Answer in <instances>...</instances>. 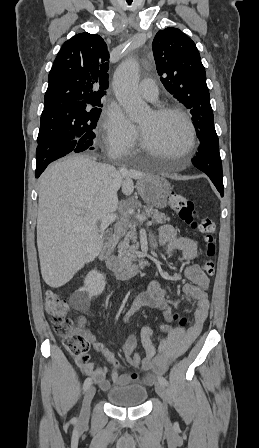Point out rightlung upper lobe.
<instances>
[{
    "label": "right lung upper lobe",
    "instance_id": "1",
    "mask_svg": "<svg viewBox=\"0 0 259 448\" xmlns=\"http://www.w3.org/2000/svg\"><path fill=\"white\" fill-rule=\"evenodd\" d=\"M108 60L107 45L97 34L84 32L66 41L48 76L42 114L101 105L108 88Z\"/></svg>",
    "mask_w": 259,
    "mask_h": 448
}]
</instances>
